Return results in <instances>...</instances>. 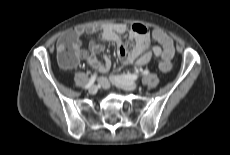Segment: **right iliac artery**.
I'll return each instance as SVG.
<instances>
[{
	"label": "right iliac artery",
	"mask_w": 230,
	"mask_h": 155,
	"mask_svg": "<svg viewBox=\"0 0 230 155\" xmlns=\"http://www.w3.org/2000/svg\"><path fill=\"white\" fill-rule=\"evenodd\" d=\"M96 76H97L96 74L91 76V78L89 79V81H88L87 85L85 86V88H90L94 84V82L96 80Z\"/></svg>",
	"instance_id": "obj_1"
}]
</instances>
